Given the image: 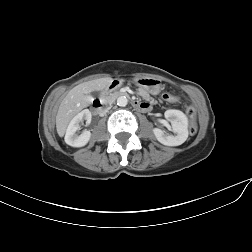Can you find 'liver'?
<instances>
[{"mask_svg": "<svg viewBox=\"0 0 252 252\" xmlns=\"http://www.w3.org/2000/svg\"><path fill=\"white\" fill-rule=\"evenodd\" d=\"M112 81L113 79L109 77L100 78L81 83L70 90L61 102L56 115V127L58 134L62 135L75 114L93 102V97L90 95L91 92L105 89L112 83Z\"/></svg>", "mask_w": 252, "mask_h": 252, "instance_id": "6515ba94", "label": "liver"}]
</instances>
